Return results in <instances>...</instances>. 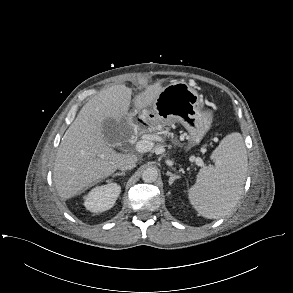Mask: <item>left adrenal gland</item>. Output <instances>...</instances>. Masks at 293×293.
<instances>
[{
	"label": "left adrenal gland",
	"mask_w": 293,
	"mask_h": 293,
	"mask_svg": "<svg viewBox=\"0 0 293 293\" xmlns=\"http://www.w3.org/2000/svg\"><path fill=\"white\" fill-rule=\"evenodd\" d=\"M166 175L170 176V178H169V185L170 186L174 183L175 180L180 178V176L175 175V174H173V173H171L169 171L166 173Z\"/></svg>",
	"instance_id": "1"
}]
</instances>
